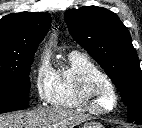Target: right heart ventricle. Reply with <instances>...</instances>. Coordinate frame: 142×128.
Returning a JSON list of instances; mask_svg holds the SVG:
<instances>
[{
    "mask_svg": "<svg viewBox=\"0 0 142 128\" xmlns=\"http://www.w3.org/2000/svg\"><path fill=\"white\" fill-rule=\"evenodd\" d=\"M91 76H105L86 55L71 53L69 65L55 71L49 103L56 107L85 110L80 101V91L85 80Z\"/></svg>",
    "mask_w": 142,
    "mask_h": 128,
    "instance_id": "obj_1",
    "label": "right heart ventricle"
}]
</instances>
